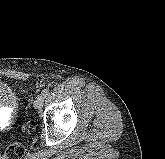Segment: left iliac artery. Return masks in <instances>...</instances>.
Masks as SVG:
<instances>
[{
	"instance_id": "1",
	"label": "left iliac artery",
	"mask_w": 165,
	"mask_h": 159,
	"mask_svg": "<svg viewBox=\"0 0 165 159\" xmlns=\"http://www.w3.org/2000/svg\"><path fill=\"white\" fill-rule=\"evenodd\" d=\"M48 93H49V89H48V88L43 89L42 92H41V94H42L44 97H46V96L48 95Z\"/></svg>"
}]
</instances>
